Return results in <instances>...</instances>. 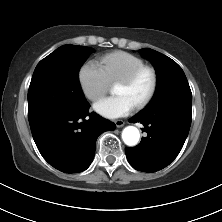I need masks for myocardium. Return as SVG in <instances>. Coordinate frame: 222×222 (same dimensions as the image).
Listing matches in <instances>:
<instances>
[{
  "instance_id": "f54148a6",
  "label": "myocardium",
  "mask_w": 222,
  "mask_h": 222,
  "mask_svg": "<svg viewBox=\"0 0 222 222\" xmlns=\"http://www.w3.org/2000/svg\"><path fill=\"white\" fill-rule=\"evenodd\" d=\"M146 72L149 73L151 76V86L147 95L136 105V108L139 110L145 108L153 100L157 92L158 74L155 68L149 65H143L117 82V84L130 86L134 84L143 73Z\"/></svg>"
}]
</instances>
